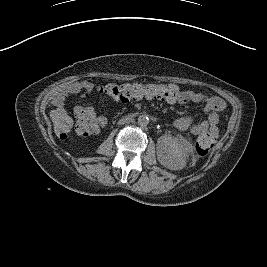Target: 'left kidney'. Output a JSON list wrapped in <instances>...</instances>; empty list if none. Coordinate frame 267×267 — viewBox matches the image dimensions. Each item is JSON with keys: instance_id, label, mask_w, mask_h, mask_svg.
<instances>
[{"instance_id": "1", "label": "left kidney", "mask_w": 267, "mask_h": 267, "mask_svg": "<svg viewBox=\"0 0 267 267\" xmlns=\"http://www.w3.org/2000/svg\"><path fill=\"white\" fill-rule=\"evenodd\" d=\"M157 160L171 171L182 170L187 164V154L178 143L168 135L157 140Z\"/></svg>"}]
</instances>
